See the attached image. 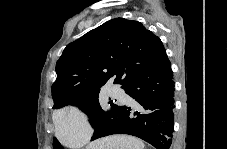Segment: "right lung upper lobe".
<instances>
[{"label":"right lung upper lobe","instance_id":"obj_1","mask_svg":"<svg viewBox=\"0 0 227 149\" xmlns=\"http://www.w3.org/2000/svg\"><path fill=\"white\" fill-rule=\"evenodd\" d=\"M166 59L160 38L140 22L107 21L64 49L52 85L54 106L101 88L112 77L123 88Z\"/></svg>","mask_w":227,"mask_h":149}]
</instances>
